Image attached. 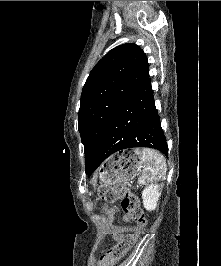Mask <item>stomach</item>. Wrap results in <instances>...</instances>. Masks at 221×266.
<instances>
[{
	"mask_svg": "<svg viewBox=\"0 0 221 266\" xmlns=\"http://www.w3.org/2000/svg\"><path fill=\"white\" fill-rule=\"evenodd\" d=\"M142 166L135 150H124L109 157L99 169L100 180L107 185L127 183Z\"/></svg>",
	"mask_w": 221,
	"mask_h": 266,
	"instance_id": "obj_1",
	"label": "stomach"
}]
</instances>
